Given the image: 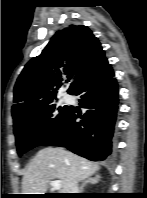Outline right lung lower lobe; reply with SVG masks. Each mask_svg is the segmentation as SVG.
Instances as JSON below:
<instances>
[{"label": "right lung lower lobe", "mask_w": 147, "mask_h": 198, "mask_svg": "<svg viewBox=\"0 0 147 198\" xmlns=\"http://www.w3.org/2000/svg\"><path fill=\"white\" fill-rule=\"evenodd\" d=\"M80 106L86 108L77 119L71 109L65 123L42 146H65L70 151L92 161L104 160L111 154L112 136L118 110V85L111 65L102 67L75 91Z\"/></svg>", "instance_id": "1"}]
</instances>
